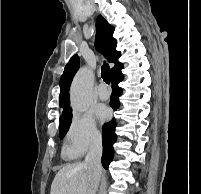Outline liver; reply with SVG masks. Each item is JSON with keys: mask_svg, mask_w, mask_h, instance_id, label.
I'll return each instance as SVG.
<instances>
[{"mask_svg": "<svg viewBox=\"0 0 201 194\" xmlns=\"http://www.w3.org/2000/svg\"><path fill=\"white\" fill-rule=\"evenodd\" d=\"M89 171L85 163L63 166L55 175L50 194H87Z\"/></svg>", "mask_w": 201, "mask_h": 194, "instance_id": "liver-1", "label": "liver"}]
</instances>
